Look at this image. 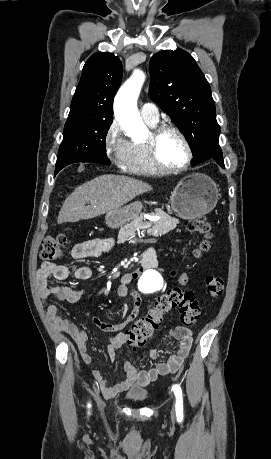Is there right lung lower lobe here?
Instances as JSON below:
<instances>
[{"mask_svg":"<svg viewBox=\"0 0 271 459\" xmlns=\"http://www.w3.org/2000/svg\"><path fill=\"white\" fill-rule=\"evenodd\" d=\"M80 162H92V161H87V160H83V161H80ZM71 164V163H70ZM69 164H64V165H61L59 167H56V170H55V175L62 169L64 168L65 166H67Z\"/></svg>","mask_w":271,"mask_h":459,"instance_id":"obj_1","label":"right lung lower lobe"}]
</instances>
